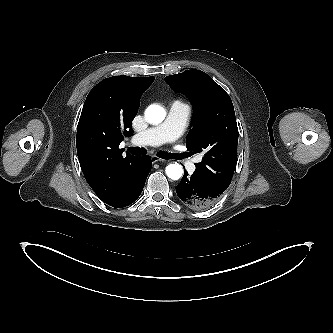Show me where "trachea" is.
<instances>
[{"label":"trachea","instance_id":"trachea-1","mask_svg":"<svg viewBox=\"0 0 333 333\" xmlns=\"http://www.w3.org/2000/svg\"><path fill=\"white\" fill-rule=\"evenodd\" d=\"M128 150L133 155H145L147 154V151L145 148H139V147H130ZM157 156H159L162 159H183L187 157V154H173V153H167V152H158Z\"/></svg>","mask_w":333,"mask_h":333}]
</instances>
